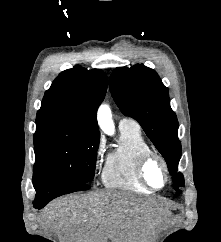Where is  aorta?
Listing matches in <instances>:
<instances>
[{
    "label": "aorta",
    "instance_id": "obj_1",
    "mask_svg": "<svg viewBox=\"0 0 221 242\" xmlns=\"http://www.w3.org/2000/svg\"><path fill=\"white\" fill-rule=\"evenodd\" d=\"M98 122L102 130L106 133H111L114 130L111 110L108 105H101L98 110Z\"/></svg>",
    "mask_w": 221,
    "mask_h": 242
}]
</instances>
